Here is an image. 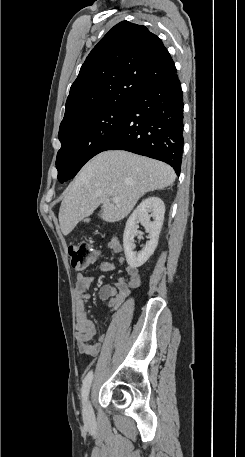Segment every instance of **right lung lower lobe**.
<instances>
[{"label": "right lung lower lobe", "instance_id": "98d812e1", "mask_svg": "<svg viewBox=\"0 0 245 457\" xmlns=\"http://www.w3.org/2000/svg\"><path fill=\"white\" fill-rule=\"evenodd\" d=\"M106 150H126L170 164L179 176L183 153V94L177 71L148 83Z\"/></svg>", "mask_w": 245, "mask_h": 457}]
</instances>
